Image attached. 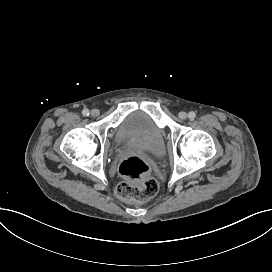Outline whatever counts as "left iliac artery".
<instances>
[{
  "label": "left iliac artery",
  "mask_w": 272,
  "mask_h": 272,
  "mask_svg": "<svg viewBox=\"0 0 272 272\" xmlns=\"http://www.w3.org/2000/svg\"><path fill=\"white\" fill-rule=\"evenodd\" d=\"M188 117H189L191 120H193V119L196 117L195 112H193V111L189 112Z\"/></svg>",
  "instance_id": "obj_1"
}]
</instances>
